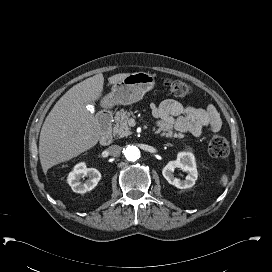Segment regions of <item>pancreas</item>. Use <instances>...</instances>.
<instances>
[{
	"mask_svg": "<svg viewBox=\"0 0 272 272\" xmlns=\"http://www.w3.org/2000/svg\"><path fill=\"white\" fill-rule=\"evenodd\" d=\"M131 113L129 111H125L121 109L115 114V124L113 126V135L118 137H126L131 134L130 127L128 126V121L130 119ZM155 133H160L161 136L166 138H184L182 133H174L172 131L162 132V130L154 129Z\"/></svg>",
	"mask_w": 272,
	"mask_h": 272,
	"instance_id": "cf45deb5",
	"label": "pancreas"
}]
</instances>
